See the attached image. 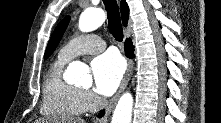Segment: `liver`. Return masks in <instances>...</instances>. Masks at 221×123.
<instances>
[{"label":"liver","instance_id":"1","mask_svg":"<svg viewBox=\"0 0 221 123\" xmlns=\"http://www.w3.org/2000/svg\"><path fill=\"white\" fill-rule=\"evenodd\" d=\"M64 122V121H63ZM36 123H45V120H37ZM68 123H86L84 120L78 118V119H69Z\"/></svg>","mask_w":221,"mask_h":123}]
</instances>
